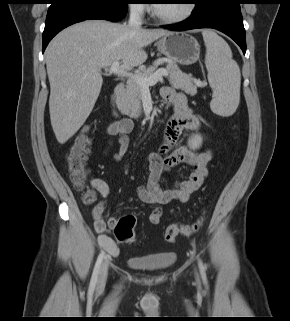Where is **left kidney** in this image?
I'll use <instances>...</instances> for the list:
<instances>
[{
	"label": "left kidney",
	"instance_id": "1",
	"mask_svg": "<svg viewBox=\"0 0 290 321\" xmlns=\"http://www.w3.org/2000/svg\"><path fill=\"white\" fill-rule=\"evenodd\" d=\"M201 144V138L198 135H193V137L189 140V145L194 149L198 148Z\"/></svg>",
	"mask_w": 290,
	"mask_h": 321
}]
</instances>
